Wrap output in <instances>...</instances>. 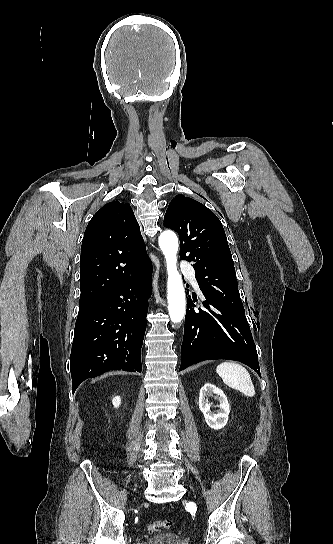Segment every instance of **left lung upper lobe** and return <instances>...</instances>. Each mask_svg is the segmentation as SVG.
<instances>
[{
    "label": "left lung upper lobe",
    "instance_id": "left-lung-upper-lobe-1",
    "mask_svg": "<svg viewBox=\"0 0 333 544\" xmlns=\"http://www.w3.org/2000/svg\"><path fill=\"white\" fill-rule=\"evenodd\" d=\"M164 226L180 238V258L193 262L202 292L239 314L245 310L223 226L203 204L177 195L168 206Z\"/></svg>",
    "mask_w": 333,
    "mask_h": 544
}]
</instances>
